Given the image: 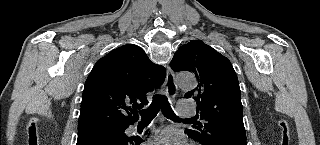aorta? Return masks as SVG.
<instances>
[{
    "label": "aorta",
    "mask_w": 320,
    "mask_h": 145,
    "mask_svg": "<svg viewBox=\"0 0 320 145\" xmlns=\"http://www.w3.org/2000/svg\"><path fill=\"white\" fill-rule=\"evenodd\" d=\"M178 84L183 89H192L196 86V79L190 73H180L177 76Z\"/></svg>",
    "instance_id": "aorta-1"
}]
</instances>
